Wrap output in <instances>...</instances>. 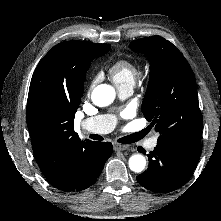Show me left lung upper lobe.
Here are the masks:
<instances>
[{
    "label": "left lung upper lobe",
    "instance_id": "obj_1",
    "mask_svg": "<svg viewBox=\"0 0 221 221\" xmlns=\"http://www.w3.org/2000/svg\"><path fill=\"white\" fill-rule=\"evenodd\" d=\"M130 48L150 60V80L142 104L158 142L201 143L202 114L194 74L182 53L161 36L133 41Z\"/></svg>",
    "mask_w": 221,
    "mask_h": 221
}]
</instances>
